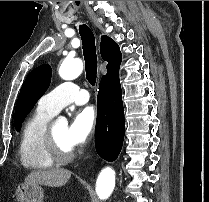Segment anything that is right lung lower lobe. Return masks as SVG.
I'll return each mask as SVG.
<instances>
[{
  "label": "right lung lower lobe",
  "instance_id": "right-lung-lower-lobe-1",
  "mask_svg": "<svg viewBox=\"0 0 209 202\" xmlns=\"http://www.w3.org/2000/svg\"><path fill=\"white\" fill-rule=\"evenodd\" d=\"M125 134L120 83L101 84L97 96L95 146L100 157L117 159Z\"/></svg>",
  "mask_w": 209,
  "mask_h": 202
}]
</instances>
